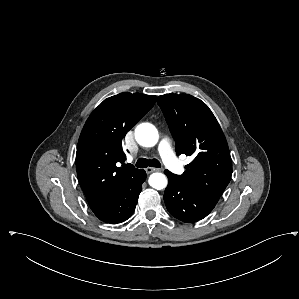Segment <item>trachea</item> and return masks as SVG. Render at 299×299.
<instances>
[{
    "label": "trachea",
    "mask_w": 299,
    "mask_h": 299,
    "mask_svg": "<svg viewBox=\"0 0 299 299\" xmlns=\"http://www.w3.org/2000/svg\"><path fill=\"white\" fill-rule=\"evenodd\" d=\"M148 166L160 168L161 164L157 159L148 160L146 158H140L136 162V167L138 168H146Z\"/></svg>",
    "instance_id": "trachea-1"
}]
</instances>
